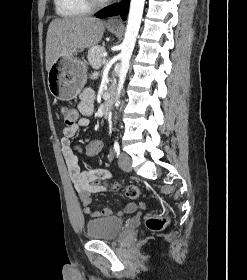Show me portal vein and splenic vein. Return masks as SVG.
<instances>
[{"label":"portal vein and splenic vein","instance_id":"18ae733b","mask_svg":"<svg viewBox=\"0 0 247 280\" xmlns=\"http://www.w3.org/2000/svg\"><path fill=\"white\" fill-rule=\"evenodd\" d=\"M102 63H103V64H106V63H107V60H106V59H104Z\"/></svg>","mask_w":247,"mask_h":280}]
</instances>
